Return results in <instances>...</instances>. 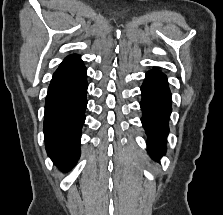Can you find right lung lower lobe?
Masks as SVG:
<instances>
[{"mask_svg":"<svg viewBox=\"0 0 223 215\" xmlns=\"http://www.w3.org/2000/svg\"><path fill=\"white\" fill-rule=\"evenodd\" d=\"M87 88L86 68L72 77L51 82L48 88L45 146L48 156L62 171L71 169L80 156Z\"/></svg>","mask_w":223,"mask_h":215,"instance_id":"obj_1","label":"right lung lower lobe"}]
</instances>
